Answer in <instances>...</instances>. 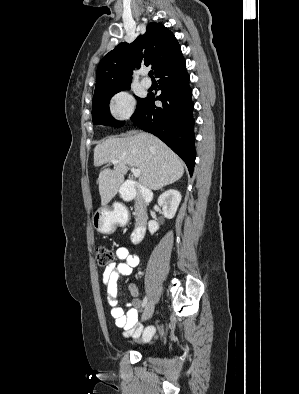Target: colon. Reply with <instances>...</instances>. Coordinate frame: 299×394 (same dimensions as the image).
<instances>
[{
  "label": "colon",
  "instance_id": "colon-1",
  "mask_svg": "<svg viewBox=\"0 0 299 394\" xmlns=\"http://www.w3.org/2000/svg\"><path fill=\"white\" fill-rule=\"evenodd\" d=\"M97 263L100 266H107L114 262V253L107 245H98L95 249Z\"/></svg>",
  "mask_w": 299,
  "mask_h": 394
}]
</instances>
